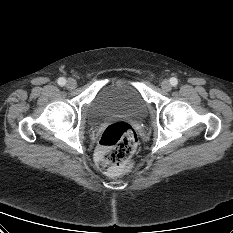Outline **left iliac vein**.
<instances>
[{
	"mask_svg": "<svg viewBox=\"0 0 233 233\" xmlns=\"http://www.w3.org/2000/svg\"><path fill=\"white\" fill-rule=\"evenodd\" d=\"M161 87L165 91H170L171 90V84H170L169 80H163L162 83H161Z\"/></svg>",
	"mask_w": 233,
	"mask_h": 233,
	"instance_id": "obj_1",
	"label": "left iliac vein"
}]
</instances>
